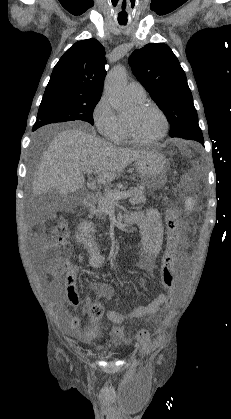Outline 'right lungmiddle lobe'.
I'll return each instance as SVG.
<instances>
[{
  "mask_svg": "<svg viewBox=\"0 0 231 419\" xmlns=\"http://www.w3.org/2000/svg\"><path fill=\"white\" fill-rule=\"evenodd\" d=\"M100 96L67 88H46L33 130L53 122L72 120H83L93 125L92 114Z\"/></svg>",
  "mask_w": 231,
  "mask_h": 419,
  "instance_id": "dd1d6c3e",
  "label": "right lung middle lobe"
}]
</instances>
